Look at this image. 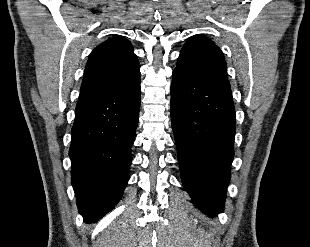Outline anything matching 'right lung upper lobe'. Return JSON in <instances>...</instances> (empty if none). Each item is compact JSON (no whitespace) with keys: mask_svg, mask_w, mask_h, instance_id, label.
Here are the masks:
<instances>
[{"mask_svg":"<svg viewBox=\"0 0 310 247\" xmlns=\"http://www.w3.org/2000/svg\"><path fill=\"white\" fill-rule=\"evenodd\" d=\"M139 68L130 41L110 38L91 52L80 94L129 88L140 82Z\"/></svg>","mask_w":310,"mask_h":247,"instance_id":"cb5924a9","label":"right lung upper lobe"}]
</instances>
